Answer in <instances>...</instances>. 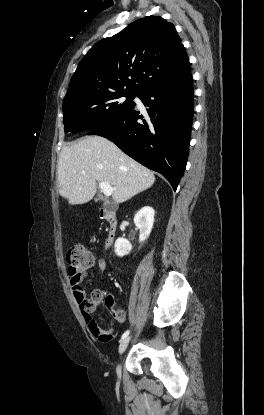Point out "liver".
<instances>
[{
	"instance_id": "liver-1",
	"label": "liver",
	"mask_w": 264,
	"mask_h": 415,
	"mask_svg": "<svg viewBox=\"0 0 264 415\" xmlns=\"http://www.w3.org/2000/svg\"><path fill=\"white\" fill-rule=\"evenodd\" d=\"M57 171L59 194L71 205L89 202L96 194L97 182L114 188L116 203L125 202L155 182L152 171L100 136L84 137L63 147Z\"/></svg>"
}]
</instances>
